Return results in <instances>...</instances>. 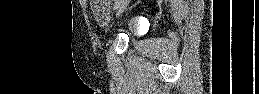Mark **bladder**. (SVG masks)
<instances>
[{
  "label": "bladder",
  "instance_id": "1",
  "mask_svg": "<svg viewBox=\"0 0 259 94\" xmlns=\"http://www.w3.org/2000/svg\"><path fill=\"white\" fill-rule=\"evenodd\" d=\"M93 15L97 23L105 29L110 28L111 16L108 11V7L105 4H99L92 8ZM129 33L135 32L133 27H129Z\"/></svg>",
  "mask_w": 259,
  "mask_h": 94
}]
</instances>
